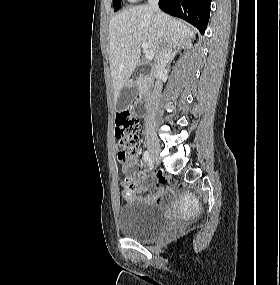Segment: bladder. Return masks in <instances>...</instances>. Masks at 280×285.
<instances>
[{"label":"bladder","mask_w":280,"mask_h":285,"mask_svg":"<svg viewBox=\"0 0 280 285\" xmlns=\"http://www.w3.org/2000/svg\"><path fill=\"white\" fill-rule=\"evenodd\" d=\"M168 222L160 209L142 200L126 203L118 211L120 232L136 240L144 241L158 235Z\"/></svg>","instance_id":"31cf9c89"}]
</instances>
